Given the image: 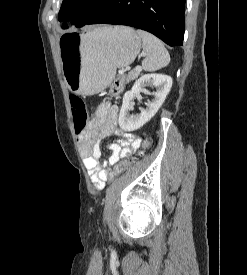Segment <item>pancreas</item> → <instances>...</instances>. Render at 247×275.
I'll return each instance as SVG.
<instances>
[{"mask_svg": "<svg viewBox=\"0 0 247 275\" xmlns=\"http://www.w3.org/2000/svg\"><path fill=\"white\" fill-rule=\"evenodd\" d=\"M140 72L136 71V70H132L128 73V75H126L125 77V81L126 83H129L131 80H135L138 78Z\"/></svg>", "mask_w": 247, "mask_h": 275, "instance_id": "pancreas-1", "label": "pancreas"}]
</instances>
